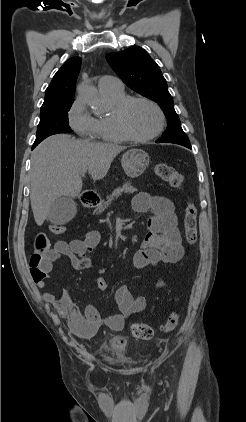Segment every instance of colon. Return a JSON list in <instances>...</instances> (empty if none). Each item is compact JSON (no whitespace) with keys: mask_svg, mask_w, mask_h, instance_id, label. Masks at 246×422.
I'll list each match as a JSON object with an SVG mask.
<instances>
[{"mask_svg":"<svg viewBox=\"0 0 246 422\" xmlns=\"http://www.w3.org/2000/svg\"><path fill=\"white\" fill-rule=\"evenodd\" d=\"M155 174L162 180L168 182L174 188H180L183 185V177L172 166L159 163L154 167ZM198 211L193 203H188L183 217L184 236L188 244L193 245L198 238L197 229ZM49 231L54 235H62L66 228L63 225L52 224ZM50 241L45 233H38L34 242V251L29 259V271L34 280L43 279L46 275L47 254L50 251ZM180 314L172 312L162 324V331L169 333L174 331L179 324ZM132 334L139 340H149L153 337V329L144 323H135L132 325ZM122 343V341H120Z\"/></svg>","mask_w":246,"mask_h":422,"instance_id":"5ec220e1","label":"colon"}]
</instances>
